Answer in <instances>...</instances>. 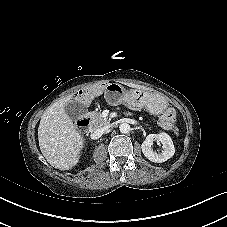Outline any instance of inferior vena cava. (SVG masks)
I'll use <instances>...</instances> for the list:
<instances>
[{
	"mask_svg": "<svg viewBox=\"0 0 227 227\" xmlns=\"http://www.w3.org/2000/svg\"><path fill=\"white\" fill-rule=\"evenodd\" d=\"M108 129H109V126H104V127L94 130V132L91 135V138L92 139L100 138L104 133H106L108 131Z\"/></svg>",
	"mask_w": 227,
	"mask_h": 227,
	"instance_id": "1",
	"label": "inferior vena cava"
}]
</instances>
